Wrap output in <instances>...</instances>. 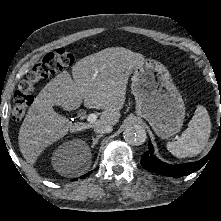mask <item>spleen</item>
I'll return each instance as SVG.
<instances>
[{
	"instance_id": "1",
	"label": "spleen",
	"mask_w": 221,
	"mask_h": 221,
	"mask_svg": "<svg viewBox=\"0 0 221 221\" xmlns=\"http://www.w3.org/2000/svg\"><path fill=\"white\" fill-rule=\"evenodd\" d=\"M211 133V121L207 109L198 105L188 128L177 141L168 142L166 147L178 158L193 157L201 153L208 143Z\"/></svg>"
}]
</instances>
